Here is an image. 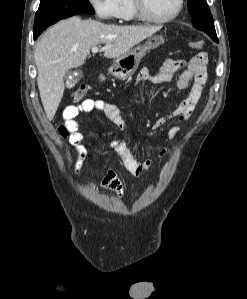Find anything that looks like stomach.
I'll list each match as a JSON object with an SVG mask.
<instances>
[{
    "label": "stomach",
    "instance_id": "obj_1",
    "mask_svg": "<svg viewBox=\"0 0 247 299\" xmlns=\"http://www.w3.org/2000/svg\"><path fill=\"white\" fill-rule=\"evenodd\" d=\"M165 39L162 36L149 38L144 44L138 45L125 54L117 57L110 67L109 72L117 79L125 80L130 78L137 70L142 58L147 52L156 49L163 44Z\"/></svg>",
    "mask_w": 247,
    "mask_h": 299
}]
</instances>
